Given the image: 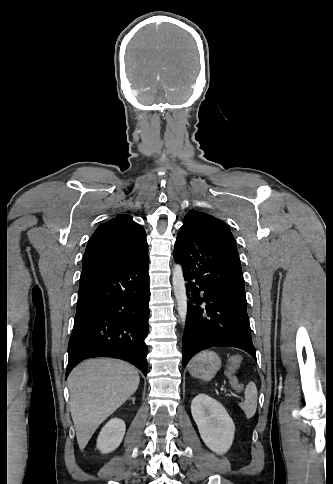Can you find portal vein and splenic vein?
<instances>
[{
  "label": "portal vein and splenic vein",
  "mask_w": 333,
  "mask_h": 484,
  "mask_svg": "<svg viewBox=\"0 0 333 484\" xmlns=\"http://www.w3.org/2000/svg\"><path fill=\"white\" fill-rule=\"evenodd\" d=\"M221 390L224 391L226 393V396H228V397H236V398H239L238 396L234 395L233 393H231L230 391L226 390L223 387H221Z\"/></svg>",
  "instance_id": "18ae733b"
}]
</instances>
